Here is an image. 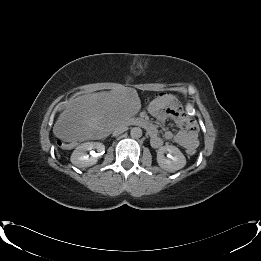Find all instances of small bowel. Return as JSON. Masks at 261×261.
<instances>
[{
	"instance_id": "obj_1",
	"label": "small bowel",
	"mask_w": 261,
	"mask_h": 261,
	"mask_svg": "<svg viewBox=\"0 0 261 261\" xmlns=\"http://www.w3.org/2000/svg\"><path fill=\"white\" fill-rule=\"evenodd\" d=\"M149 113L159 122H165L166 120L171 119L181 128L177 133L169 130L166 131L164 133V138L166 140L174 141L185 148H196L198 146L197 124L193 121L190 114L183 109L176 96L169 93L161 94L150 104ZM143 126H145L150 135L152 145L155 147L161 146L162 139L158 135L156 127L147 121Z\"/></svg>"
}]
</instances>
